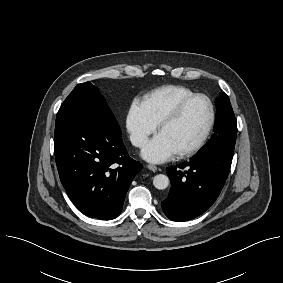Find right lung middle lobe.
<instances>
[{
  "instance_id": "obj_1",
  "label": "right lung middle lobe",
  "mask_w": 283,
  "mask_h": 283,
  "mask_svg": "<svg viewBox=\"0 0 283 283\" xmlns=\"http://www.w3.org/2000/svg\"><path fill=\"white\" fill-rule=\"evenodd\" d=\"M110 110L104 98L90 82L78 84L62 104L56 123L85 111Z\"/></svg>"
}]
</instances>
